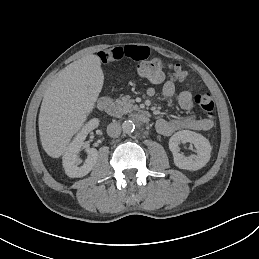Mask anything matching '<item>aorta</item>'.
Returning <instances> with one entry per match:
<instances>
[{"instance_id":"762f6f07","label":"aorta","mask_w":259,"mask_h":259,"mask_svg":"<svg viewBox=\"0 0 259 259\" xmlns=\"http://www.w3.org/2000/svg\"><path fill=\"white\" fill-rule=\"evenodd\" d=\"M134 129H135V125H134L133 121L125 120L122 123V130H123L124 133L130 134L134 131Z\"/></svg>"}]
</instances>
